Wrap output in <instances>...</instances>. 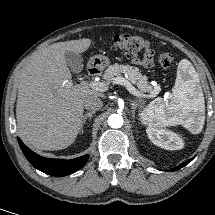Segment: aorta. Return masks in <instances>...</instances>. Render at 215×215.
I'll return each mask as SVG.
<instances>
[{
	"label": "aorta",
	"mask_w": 215,
	"mask_h": 215,
	"mask_svg": "<svg viewBox=\"0 0 215 215\" xmlns=\"http://www.w3.org/2000/svg\"><path fill=\"white\" fill-rule=\"evenodd\" d=\"M123 118L118 114H112L108 118V124L112 128H120L123 126Z\"/></svg>",
	"instance_id": "aorta-1"
}]
</instances>
